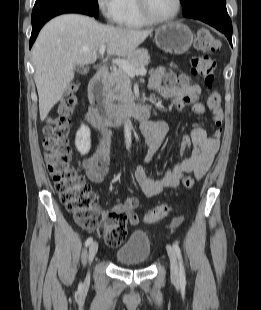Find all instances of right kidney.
<instances>
[{
    "label": "right kidney",
    "mask_w": 261,
    "mask_h": 310,
    "mask_svg": "<svg viewBox=\"0 0 261 310\" xmlns=\"http://www.w3.org/2000/svg\"><path fill=\"white\" fill-rule=\"evenodd\" d=\"M91 132L89 127L81 125L80 129L76 133L75 145L81 155H85L91 148Z\"/></svg>",
    "instance_id": "ca27d5eb"
}]
</instances>
